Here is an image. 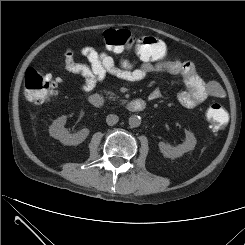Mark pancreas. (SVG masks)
Segmentation results:
<instances>
[{"label": "pancreas", "mask_w": 245, "mask_h": 245, "mask_svg": "<svg viewBox=\"0 0 245 245\" xmlns=\"http://www.w3.org/2000/svg\"><path fill=\"white\" fill-rule=\"evenodd\" d=\"M104 92L109 100L115 101L116 99H118V96H116L112 91H104ZM120 101L122 103H125V100H120Z\"/></svg>", "instance_id": "cf45deb5"}]
</instances>
